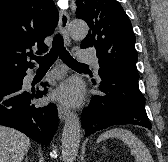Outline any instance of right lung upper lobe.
I'll return each mask as SVG.
<instances>
[{
  "instance_id": "obj_1",
  "label": "right lung upper lobe",
  "mask_w": 168,
  "mask_h": 162,
  "mask_svg": "<svg viewBox=\"0 0 168 162\" xmlns=\"http://www.w3.org/2000/svg\"><path fill=\"white\" fill-rule=\"evenodd\" d=\"M59 14L53 0H0V78L32 68L26 59L31 48L46 52Z\"/></svg>"
}]
</instances>
